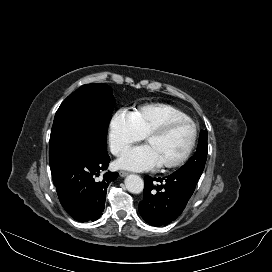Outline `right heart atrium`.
Listing matches in <instances>:
<instances>
[{"label": "right heart atrium", "mask_w": 272, "mask_h": 272, "mask_svg": "<svg viewBox=\"0 0 272 272\" xmlns=\"http://www.w3.org/2000/svg\"><path fill=\"white\" fill-rule=\"evenodd\" d=\"M142 138L132 112L118 109L112 114L108 125V142L113 154H122L131 144Z\"/></svg>", "instance_id": "right-heart-atrium-1"}]
</instances>
